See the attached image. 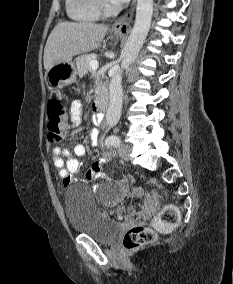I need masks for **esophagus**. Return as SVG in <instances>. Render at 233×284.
<instances>
[{
	"instance_id": "esophagus-1",
	"label": "esophagus",
	"mask_w": 233,
	"mask_h": 284,
	"mask_svg": "<svg viewBox=\"0 0 233 284\" xmlns=\"http://www.w3.org/2000/svg\"><path fill=\"white\" fill-rule=\"evenodd\" d=\"M136 0L132 1L131 7L122 16H120L112 25V31L120 34H128L131 30V23L135 9Z\"/></svg>"
}]
</instances>
